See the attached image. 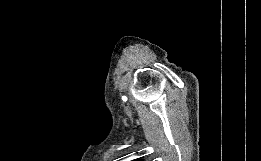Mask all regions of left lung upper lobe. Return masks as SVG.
<instances>
[{
    "label": "left lung upper lobe",
    "mask_w": 261,
    "mask_h": 161,
    "mask_svg": "<svg viewBox=\"0 0 261 161\" xmlns=\"http://www.w3.org/2000/svg\"><path fill=\"white\" fill-rule=\"evenodd\" d=\"M133 161H141V160H138V159H137V160H133Z\"/></svg>",
    "instance_id": "left-lung-upper-lobe-1"
}]
</instances>
